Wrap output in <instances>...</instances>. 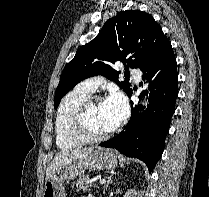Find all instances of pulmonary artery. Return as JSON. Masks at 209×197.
<instances>
[{
	"mask_svg": "<svg viewBox=\"0 0 209 197\" xmlns=\"http://www.w3.org/2000/svg\"><path fill=\"white\" fill-rule=\"evenodd\" d=\"M130 73L134 78L139 81L141 79V71L139 68L133 67L130 69ZM105 80L102 77L94 76L83 81L80 86L87 89L90 92H94Z\"/></svg>",
	"mask_w": 209,
	"mask_h": 197,
	"instance_id": "1",
	"label": "pulmonary artery"
}]
</instances>
